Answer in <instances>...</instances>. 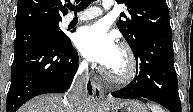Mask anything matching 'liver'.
<instances>
[{
    "label": "liver",
    "mask_w": 193,
    "mask_h": 112,
    "mask_svg": "<svg viewBox=\"0 0 193 112\" xmlns=\"http://www.w3.org/2000/svg\"><path fill=\"white\" fill-rule=\"evenodd\" d=\"M94 108V100L87 97L83 106V112H94ZM71 110V107L62 95L45 94L31 99L18 112H72Z\"/></svg>",
    "instance_id": "liver-1"
}]
</instances>
